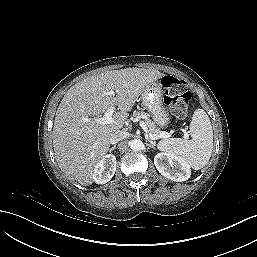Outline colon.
Instances as JSON below:
<instances>
[{
	"instance_id": "obj_1",
	"label": "colon",
	"mask_w": 257,
	"mask_h": 257,
	"mask_svg": "<svg viewBox=\"0 0 257 257\" xmlns=\"http://www.w3.org/2000/svg\"><path fill=\"white\" fill-rule=\"evenodd\" d=\"M161 87L164 91V101L171 113L177 118H184L187 114L191 92L186 84L171 75H166L161 79Z\"/></svg>"
}]
</instances>
